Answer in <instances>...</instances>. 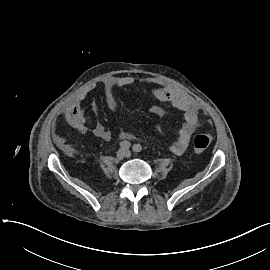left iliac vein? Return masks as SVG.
Instances as JSON below:
<instances>
[{
	"label": "left iliac vein",
	"mask_w": 270,
	"mask_h": 270,
	"mask_svg": "<svg viewBox=\"0 0 270 270\" xmlns=\"http://www.w3.org/2000/svg\"><path fill=\"white\" fill-rule=\"evenodd\" d=\"M127 156H130V154H129V153H127Z\"/></svg>",
	"instance_id": "left-iliac-vein-1"
}]
</instances>
